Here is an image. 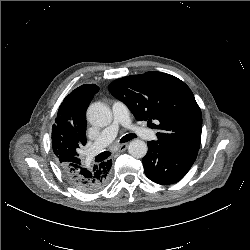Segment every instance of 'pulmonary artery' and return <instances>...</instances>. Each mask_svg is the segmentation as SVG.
<instances>
[{
	"label": "pulmonary artery",
	"instance_id": "e3ab8cb5",
	"mask_svg": "<svg viewBox=\"0 0 250 250\" xmlns=\"http://www.w3.org/2000/svg\"><path fill=\"white\" fill-rule=\"evenodd\" d=\"M112 112L113 122L101 132L98 139L87 149V160H91L96 154L110 144L117 136L120 127L135 131V133L143 139H155L156 135L154 130L143 125L135 126L131 123L128 110L122 102H114Z\"/></svg>",
	"mask_w": 250,
	"mask_h": 250
}]
</instances>
